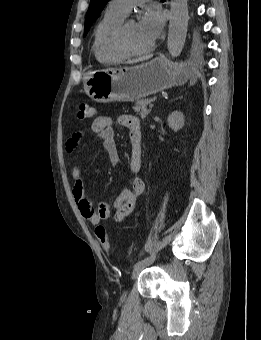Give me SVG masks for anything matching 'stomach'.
I'll use <instances>...</instances> for the list:
<instances>
[{
  "label": "stomach",
  "instance_id": "stomach-1",
  "mask_svg": "<svg viewBox=\"0 0 261 340\" xmlns=\"http://www.w3.org/2000/svg\"><path fill=\"white\" fill-rule=\"evenodd\" d=\"M191 76L186 65H172L158 57L138 66L89 72L84 78V90L96 102L136 101L183 85Z\"/></svg>",
  "mask_w": 261,
  "mask_h": 340
}]
</instances>
